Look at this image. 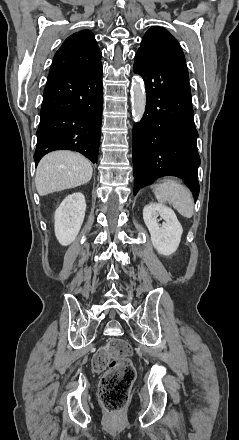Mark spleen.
I'll return each instance as SVG.
<instances>
[{
	"label": "spleen",
	"instance_id": "1",
	"mask_svg": "<svg viewBox=\"0 0 239 440\" xmlns=\"http://www.w3.org/2000/svg\"><path fill=\"white\" fill-rule=\"evenodd\" d=\"M159 204H172L184 218H192L194 208L189 188L179 184L176 180H163V184L151 186Z\"/></svg>",
	"mask_w": 239,
	"mask_h": 440
}]
</instances>
